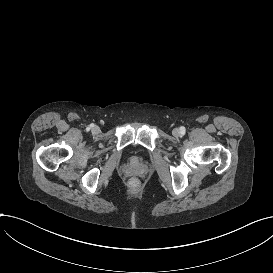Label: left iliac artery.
<instances>
[{"instance_id": "1", "label": "left iliac artery", "mask_w": 273, "mask_h": 273, "mask_svg": "<svg viewBox=\"0 0 273 273\" xmlns=\"http://www.w3.org/2000/svg\"><path fill=\"white\" fill-rule=\"evenodd\" d=\"M181 133L184 134L185 133V127H180Z\"/></svg>"}]
</instances>
